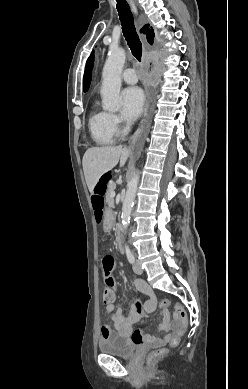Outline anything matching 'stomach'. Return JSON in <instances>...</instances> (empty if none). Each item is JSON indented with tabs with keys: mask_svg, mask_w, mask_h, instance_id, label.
<instances>
[{
	"mask_svg": "<svg viewBox=\"0 0 248 389\" xmlns=\"http://www.w3.org/2000/svg\"><path fill=\"white\" fill-rule=\"evenodd\" d=\"M104 212L106 213L105 215V227H104V234L105 235H111L112 232L114 231V224H115V221L116 218H117V215L116 213H113V208L112 207H106L104 209Z\"/></svg>",
	"mask_w": 248,
	"mask_h": 389,
	"instance_id": "0dacf381",
	"label": "stomach"
}]
</instances>
